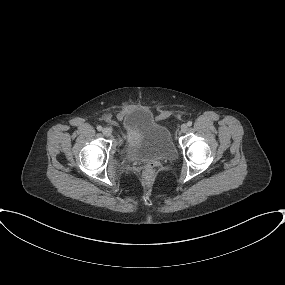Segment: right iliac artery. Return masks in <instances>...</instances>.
I'll use <instances>...</instances> for the list:
<instances>
[{
    "label": "right iliac artery",
    "mask_w": 285,
    "mask_h": 285,
    "mask_svg": "<svg viewBox=\"0 0 285 285\" xmlns=\"http://www.w3.org/2000/svg\"><path fill=\"white\" fill-rule=\"evenodd\" d=\"M97 130H98V131H101V130H102V126H100V125L97 126Z\"/></svg>",
    "instance_id": "right-iliac-artery-1"
}]
</instances>
